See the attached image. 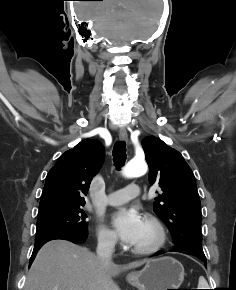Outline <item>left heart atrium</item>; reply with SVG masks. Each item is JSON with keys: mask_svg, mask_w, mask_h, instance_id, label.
I'll list each match as a JSON object with an SVG mask.
<instances>
[{"mask_svg": "<svg viewBox=\"0 0 236 290\" xmlns=\"http://www.w3.org/2000/svg\"><path fill=\"white\" fill-rule=\"evenodd\" d=\"M111 224L122 241L133 245L142 231L144 221L136 210L122 208L114 213Z\"/></svg>", "mask_w": 236, "mask_h": 290, "instance_id": "left-heart-atrium-1", "label": "left heart atrium"}]
</instances>
